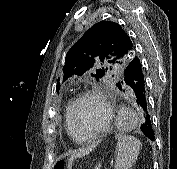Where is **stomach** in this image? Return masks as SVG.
Masks as SVG:
<instances>
[{
    "instance_id": "0dacf381",
    "label": "stomach",
    "mask_w": 177,
    "mask_h": 169,
    "mask_svg": "<svg viewBox=\"0 0 177 169\" xmlns=\"http://www.w3.org/2000/svg\"><path fill=\"white\" fill-rule=\"evenodd\" d=\"M53 169H67V164L62 160H58L55 162Z\"/></svg>"
}]
</instances>
